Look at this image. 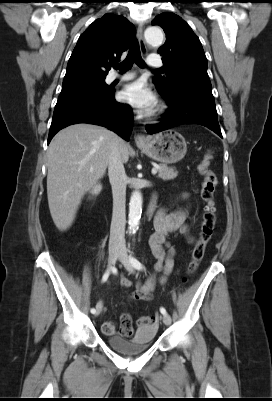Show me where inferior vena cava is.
<instances>
[{"label": "inferior vena cava", "mask_w": 272, "mask_h": 401, "mask_svg": "<svg viewBox=\"0 0 272 401\" xmlns=\"http://www.w3.org/2000/svg\"><path fill=\"white\" fill-rule=\"evenodd\" d=\"M108 176L113 194V213L109 244L123 245L125 242L127 176L117 142H114L111 146L108 161Z\"/></svg>", "instance_id": "obj_1"}]
</instances>
